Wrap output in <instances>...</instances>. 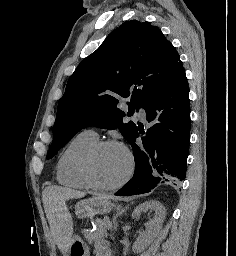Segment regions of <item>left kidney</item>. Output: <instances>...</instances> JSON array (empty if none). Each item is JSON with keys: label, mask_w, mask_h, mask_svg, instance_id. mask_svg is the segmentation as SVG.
<instances>
[{"label": "left kidney", "mask_w": 236, "mask_h": 256, "mask_svg": "<svg viewBox=\"0 0 236 256\" xmlns=\"http://www.w3.org/2000/svg\"><path fill=\"white\" fill-rule=\"evenodd\" d=\"M148 210H150V212H155L154 218L145 224L146 232H142L134 246H132V250L135 254L143 252L149 244H152L154 238L160 234L163 220L165 218V208L160 204V202H156V200H149V202H144V204L137 206L136 210H134L132 214V218H138L142 212H148Z\"/></svg>", "instance_id": "1"}]
</instances>
